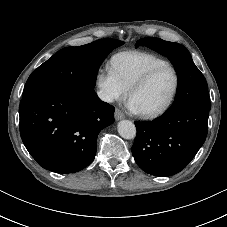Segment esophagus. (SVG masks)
<instances>
[{
    "mask_svg": "<svg viewBox=\"0 0 227 227\" xmlns=\"http://www.w3.org/2000/svg\"><path fill=\"white\" fill-rule=\"evenodd\" d=\"M114 116H115L116 120H121V119L125 118L124 113L120 109L115 110Z\"/></svg>",
    "mask_w": 227,
    "mask_h": 227,
    "instance_id": "1",
    "label": "esophagus"
}]
</instances>
